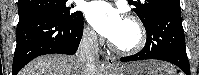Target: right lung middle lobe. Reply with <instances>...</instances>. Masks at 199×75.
I'll return each instance as SVG.
<instances>
[{"label":"right lung middle lobe","mask_w":199,"mask_h":75,"mask_svg":"<svg viewBox=\"0 0 199 75\" xmlns=\"http://www.w3.org/2000/svg\"><path fill=\"white\" fill-rule=\"evenodd\" d=\"M74 6H69L67 0H21L18 1L19 15L25 13H43L56 18L64 23H72L82 12L71 11Z\"/></svg>","instance_id":"1"}]
</instances>
